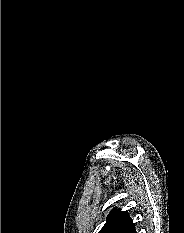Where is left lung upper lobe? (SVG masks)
<instances>
[{
  "mask_svg": "<svg viewBox=\"0 0 184 233\" xmlns=\"http://www.w3.org/2000/svg\"><path fill=\"white\" fill-rule=\"evenodd\" d=\"M99 233H136V230L127 211L113 209Z\"/></svg>",
  "mask_w": 184,
  "mask_h": 233,
  "instance_id": "left-lung-upper-lobe-1",
  "label": "left lung upper lobe"
}]
</instances>
